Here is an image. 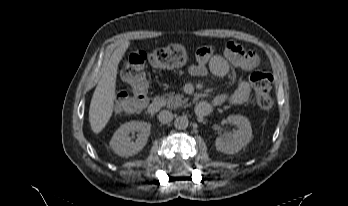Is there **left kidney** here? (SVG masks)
<instances>
[{"mask_svg": "<svg viewBox=\"0 0 348 206\" xmlns=\"http://www.w3.org/2000/svg\"><path fill=\"white\" fill-rule=\"evenodd\" d=\"M227 122L237 126L232 135L218 137L215 141L216 149L225 154H234L245 147L252 139V128L249 120L241 115H230Z\"/></svg>", "mask_w": 348, "mask_h": 206, "instance_id": "1", "label": "left kidney"}]
</instances>
